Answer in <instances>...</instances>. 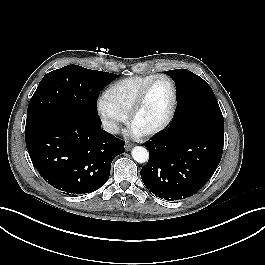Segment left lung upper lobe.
Wrapping results in <instances>:
<instances>
[{
	"label": "left lung upper lobe",
	"mask_w": 265,
	"mask_h": 265,
	"mask_svg": "<svg viewBox=\"0 0 265 265\" xmlns=\"http://www.w3.org/2000/svg\"><path fill=\"white\" fill-rule=\"evenodd\" d=\"M176 83L178 103L169 127L202 124L224 131L223 116L213 90L187 69L165 71Z\"/></svg>",
	"instance_id": "obj_1"
}]
</instances>
